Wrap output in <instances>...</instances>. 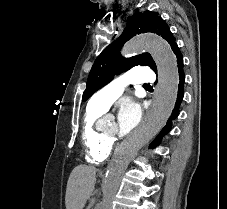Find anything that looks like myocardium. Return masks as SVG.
<instances>
[{
    "instance_id": "1",
    "label": "myocardium",
    "mask_w": 227,
    "mask_h": 209,
    "mask_svg": "<svg viewBox=\"0 0 227 209\" xmlns=\"http://www.w3.org/2000/svg\"><path fill=\"white\" fill-rule=\"evenodd\" d=\"M103 136L110 142L114 141L117 139V137L119 136L118 133H107V132H103L102 133Z\"/></svg>"
}]
</instances>
